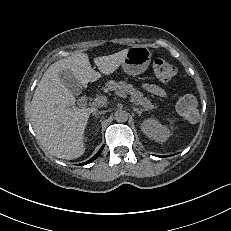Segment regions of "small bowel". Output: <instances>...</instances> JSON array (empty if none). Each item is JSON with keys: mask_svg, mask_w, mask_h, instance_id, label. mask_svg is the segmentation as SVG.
I'll use <instances>...</instances> for the list:
<instances>
[{"mask_svg": "<svg viewBox=\"0 0 231 231\" xmlns=\"http://www.w3.org/2000/svg\"><path fill=\"white\" fill-rule=\"evenodd\" d=\"M143 87L145 88L146 91H148L149 93H151L155 96L162 97V98L167 97L166 91L157 84L144 83Z\"/></svg>", "mask_w": 231, "mask_h": 231, "instance_id": "obj_1", "label": "small bowel"}]
</instances>
